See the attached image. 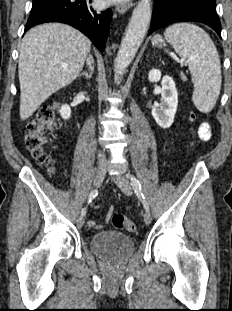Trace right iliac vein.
Masks as SVG:
<instances>
[{
    "label": "right iliac vein",
    "mask_w": 232,
    "mask_h": 311,
    "mask_svg": "<svg viewBox=\"0 0 232 311\" xmlns=\"http://www.w3.org/2000/svg\"><path fill=\"white\" fill-rule=\"evenodd\" d=\"M106 168L105 167H100L96 171L95 177H94V186L95 188H99L101 184L103 183L105 176H106ZM85 220L83 216H80L77 220L78 226L82 227L84 224Z\"/></svg>",
    "instance_id": "1"
}]
</instances>
